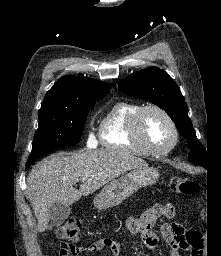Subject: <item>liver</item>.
<instances>
[{"instance_id": "1", "label": "liver", "mask_w": 221, "mask_h": 256, "mask_svg": "<svg viewBox=\"0 0 221 256\" xmlns=\"http://www.w3.org/2000/svg\"><path fill=\"white\" fill-rule=\"evenodd\" d=\"M147 166L146 161L115 149L83 153H60L39 162L27 177L28 196L38 220V231L44 232L55 203L72 205L82 195L94 193L121 174ZM81 181L79 190L73 185Z\"/></svg>"}]
</instances>
